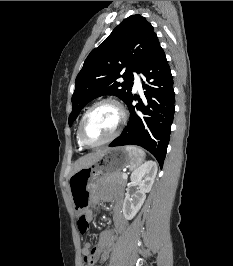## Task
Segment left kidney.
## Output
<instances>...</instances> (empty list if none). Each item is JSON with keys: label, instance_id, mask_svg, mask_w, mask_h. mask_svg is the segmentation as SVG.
Instances as JSON below:
<instances>
[{"label": "left kidney", "instance_id": "obj_1", "mask_svg": "<svg viewBox=\"0 0 233 266\" xmlns=\"http://www.w3.org/2000/svg\"><path fill=\"white\" fill-rule=\"evenodd\" d=\"M157 174V164L154 161H146L131 174V183L138 186V191L132 196L127 195L123 203V215L131 220L143 205L146 193L150 192Z\"/></svg>", "mask_w": 233, "mask_h": 266}]
</instances>
